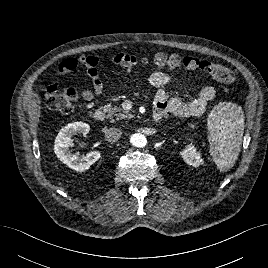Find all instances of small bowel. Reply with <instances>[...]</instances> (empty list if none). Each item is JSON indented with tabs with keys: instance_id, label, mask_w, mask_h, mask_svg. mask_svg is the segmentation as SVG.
Segmentation results:
<instances>
[{
	"instance_id": "obj_1",
	"label": "small bowel",
	"mask_w": 268,
	"mask_h": 268,
	"mask_svg": "<svg viewBox=\"0 0 268 268\" xmlns=\"http://www.w3.org/2000/svg\"><path fill=\"white\" fill-rule=\"evenodd\" d=\"M127 61L128 66L124 67L123 74L125 78L130 79L138 76L136 68L137 58L133 55L118 54L114 58V63L120 65L121 62ZM84 66L92 80V88L83 91L82 96L86 101H91L95 97H100L104 93V84L99 73V59L97 56H80L67 58L60 62L58 66L59 74H66L78 66ZM148 81L156 89L154 100V111L161 114L172 113L178 117H197L204 114L210 103L216 97V90L212 86H204L200 89L198 95L188 101L183 102L176 96H169L165 87L174 84L171 75L163 71H154L150 74ZM57 88V83L48 86V92H53Z\"/></svg>"
}]
</instances>
